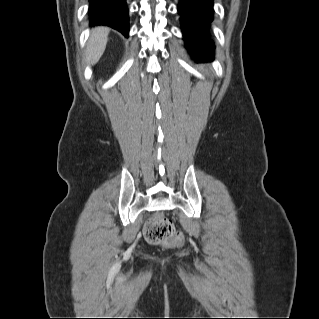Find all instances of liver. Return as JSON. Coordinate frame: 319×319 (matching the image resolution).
<instances>
[{"instance_id":"obj_1","label":"liver","mask_w":319,"mask_h":319,"mask_svg":"<svg viewBox=\"0 0 319 319\" xmlns=\"http://www.w3.org/2000/svg\"><path fill=\"white\" fill-rule=\"evenodd\" d=\"M108 34L109 29L106 27H97L92 30L86 49V58L89 64H96L103 55L108 40Z\"/></svg>"}]
</instances>
